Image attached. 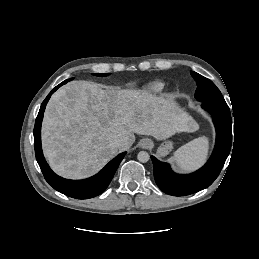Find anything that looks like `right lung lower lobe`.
Masks as SVG:
<instances>
[{
    "label": "right lung lower lobe",
    "instance_id": "right-lung-lower-lobe-1",
    "mask_svg": "<svg viewBox=\"0 0 259 259\" xmlns=\"http://www.w3.org/2000/svg\"><path fill=\"white\" fill-rule=\"evenodd\" d=\"M65 82L56 86L42 102L34 126V147L37 162L46 181L60 193L77 199H89L101 194L112 180L120 162L126 152H123L110 161L98 174L85 180H68L56 175L46 163L41 148V124L44 110L51 95Z\"/></svg>",
    "mask_w": 259,
    "mask_h": 259
}]
</instances>
